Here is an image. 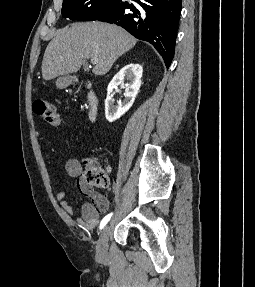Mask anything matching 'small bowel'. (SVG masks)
<instances>
[{"label": "small bowel", "instance_id": "1", "mask_svg": "<svg viewBox=\"0 0 255 287\" xmlns=\"http://www.w3.org/2000/svg\"><path fill=\"white\" fill-rule=\"evenodd\" d=\"M82 171V165L77 159H69L65 163L67 177L76 179L79 191L91 199V203H85L82 206L81 215L74 218L73 209L66 199V192H58L56 199L66 221L75 223L86 230L93 231L100 222V215L108 210L109 203L103 195L89 188L82 176Z\"/></svg>", "mask_w": 255, "mask_h": 287}]
</instances>
